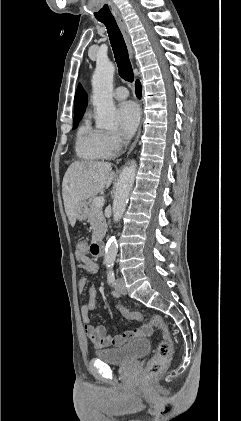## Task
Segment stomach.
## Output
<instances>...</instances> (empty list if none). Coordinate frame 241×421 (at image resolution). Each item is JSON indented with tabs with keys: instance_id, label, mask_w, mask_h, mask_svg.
<instances>
[{
	"instance_id": "obj_1",
	"label": "stomach",
	"mask_w": 241,
	"mask_h": 421,
	"mask_svg": "<svg viewBox=\"0 0 241 421\" xmlns=\"http://www.w3.org/2000/svg\"><path fill=\"white\" fill-rule=\"evenodd\" d=\"M88 215V208L86 202H82L77 209L76 212V219L79 221H83L87 218Z\"/></svg>"
}]
</instances>
